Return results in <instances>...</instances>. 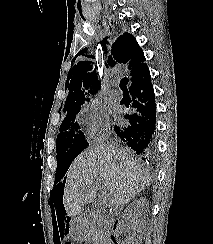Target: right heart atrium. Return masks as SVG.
<instances>
[{
    "instance_id": "obj_1",
    "label": "right heart atrium",
    "mask_w": 213,
    "mask_h": 244,
    "mask_svg": "<svg viewBox=\"0 0 213 244\" xmlns=\"http://www.w3.org/2000/svg\"><path fill=\"white\" fill-rule=\"evenodd\" d=\"M82 125L89 140H101L109 133L103 110L97 105L89 106L82 114Z\"/></svg>"
}]
</instances>
